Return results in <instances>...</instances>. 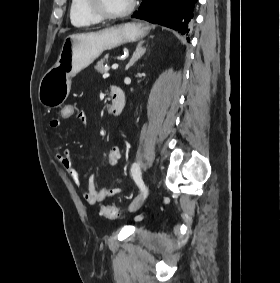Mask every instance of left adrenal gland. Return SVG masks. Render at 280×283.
I'll use <instances>...</instances> for the list:
<instances>
[{"label":"left adrenal gland","mask_w":280,"mask_h":283,"mask_svg":"<svg viewBox=\"0 0 280 283\" xmlns=\"http://www.w3.org/2000/svg\"><path fill=\"white\" fill-rule=\"evenodd\" d=\"M144 41L138 43L129 63L126 65V70H128L138 59H140L146 52V47H143Z\"/></svg>","instance_id":"obj_1"}]
</instances>
